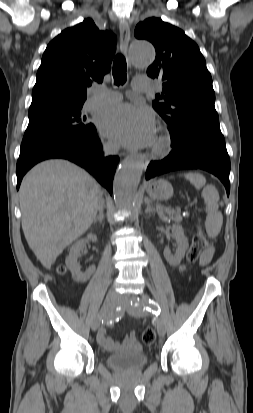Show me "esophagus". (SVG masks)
I'll list each match as a JSON object with an SVG mask.
<instances>
[{"instance_id":"34e87169","label":"esophagus","mask_w":253,"mask_h":413,"mask_svg":"<svg viewBox=\"0 0 253 413\" xmlns=\"http://www.w3.org/2000/svg\"><path fill=\"white\" fill-rule=\"evenodd\" d=\"M119 31H120V48L122 51V54L125 56L128 67L131 68V62L128 57L127 51H128V44L130 41V29L129 26L125 22H121L119 24ZM140 161L142 163V167L146 168L149 164V160L145 159L143 157L140 158Z\"/></svg>"}]
</instances>
